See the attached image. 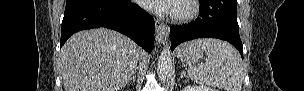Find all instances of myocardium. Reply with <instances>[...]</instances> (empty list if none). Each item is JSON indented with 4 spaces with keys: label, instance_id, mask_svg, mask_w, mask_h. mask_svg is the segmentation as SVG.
I'll list each match as a JSON object with an SVG mask.
<instances>
[{
    "label": "myocardium",
    "instance_id": "obj_1",
    "mask_svg": "<svg viewBox=\"0 0 304 91\" xmlns=\"http://www.w3.org/2000/svg\"><path fill=\"white\" fill-rule=\"evenodd\" d=\"M178 5L180 10L173 14V19L179 22L193 19L199 11L197 0H181Z\"/></svg>",
    "mask_w": 304,
    "mask_h": 91
}]
</instances>
